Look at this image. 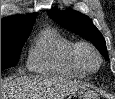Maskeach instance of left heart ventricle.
I'll return each instance as SVG.
<instances>
[{
  "instance_id": "left-heart-ventricle-1",
  "label": "left heart ventricle",
  "mask_w": 115,
  "mask_h": 99,
  "mask_svg": "<svg viewBox=\"0 0 115 99\" xmlns=\"http://www.w3.org/2000/svg\"><path fill=\"white\" fill-rule=\"evenodd\" d=\"M84 59L91 68H95L97 66V59L91 52H85Z\"/></svg>"
}]
</instances>
